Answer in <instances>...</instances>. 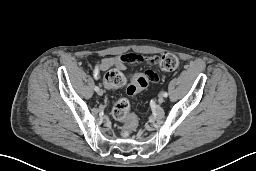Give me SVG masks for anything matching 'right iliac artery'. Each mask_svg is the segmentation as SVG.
I'll return each mask as SVG.
<instances>
[{"label":"right iliac artery","instance_id":"obj_1","mask_svg":"<svg viewBox=\"0 0 256 171\" xmlns=\"http://www.w3.org/2000/svg\"><path fill=\"white\" fill-rule=\"evenodd\" d=\"M94 90H95L96 92H98L100 89H99L98 86H95Z\"/></svg>","mask_w":256,"mask_h":171}]
</instances>
